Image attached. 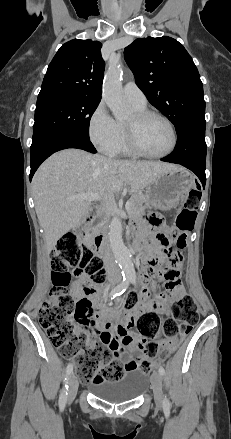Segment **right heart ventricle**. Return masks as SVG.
<instances>
[{
  "label": "right heart ventricle",
  "instance_id": "right-heart-ventricle-1",
  "mask_svg": "<svg viewBox=\"0 0 231 439\" xmlns=\"http://www.w3.org/2000/svg\"><path fill=\"white\" fill-rule=\"evenodd\" d=\"M132 107L134 108L135 112L136 111H141L145 109L144 107H139L136 105L131 104ZM118 127H119V131H120V139L119 142L117 144V146L111 150L108 154L110 155H128L131 154L128 146H127V141H126V131H125V125L122 123H118Z\"/></svg>",
  "mask_w": 231,
  "mask_h": 439
}]
</instances>
